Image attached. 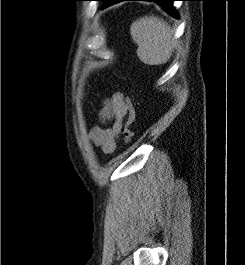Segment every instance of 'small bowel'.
Masks as SVG:
<instances>
[{
	"mask_svg": "<svg viewBox=\"0 0 245 265\" xmlns=\"http://www.w3.org/2000/svg\"><path fill=\"white\" fill-rule=\"evenodd\" d=\"M127 109L125 96L121 92H115L110 98L102 101L98 112L100 124L90 130L89 138L106 154L113 153L117 147L120 127L127 115ZM110 120H114V123L108 127L106 124Z\"/></svg>",
	"mask_w": 245,
	"mask_h": 265,
	"instance_id": "small-bowel-1",
	"label": "small bowel"
}]
</instances>
